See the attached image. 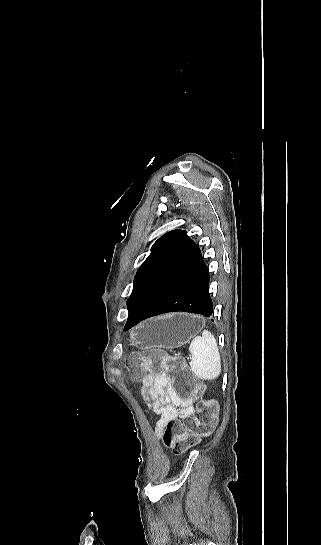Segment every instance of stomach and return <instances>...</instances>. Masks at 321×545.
Instances as JSON below:
<instances>
[{
    "label": "stomach",
    "mask_w": 321,
    "mask_h": 545,
    "mask_svg": "<svg viewBox=\"0 0 321 545\" xmlns=\"http://www.w3.org/2000/svg\"><path fill=\"white\" fill-rule=\"evenodd\" d=\"M204 327V319L187 313H169L143 321L129 331L131 347L137 349H177L188 343Z\"/></svg>",
    "instance_id": "stomach-1"
}]
</instances>
